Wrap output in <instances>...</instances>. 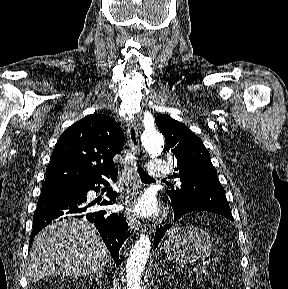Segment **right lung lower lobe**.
Masks as SVG:
<instances>
[{"mask_svg":"<svg viewBox=\"0 0 288 289\" xmlns=\"http://www.w3.org/2000/svg\"><path fill=\"white\" fill-rule=\"evenodd\" d=\"M116 180L115 172L105 178L93 180L72 188L53 190L49 193H41L37 208L33 216V231L30 243L34 236L50 222L62 218H82L95 224L105 245L110 251L117 266L119 265V249L129 237L127 223L123 214L109 213L106 210L90 211L86 194L89 190H99L100 184L108 185L106 178ZM98 184V187L95 186ZM109 201L104 200L100 205H110L116 200V192L107 193Z\"/></svg>","mask_w":288,"mask_h":289,"instance_id":"98d812e1","label":"right lung lower lobe"}]
</instances>
